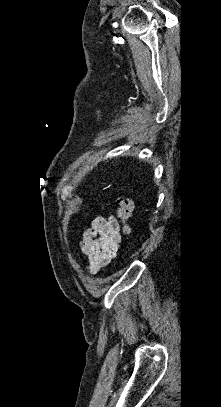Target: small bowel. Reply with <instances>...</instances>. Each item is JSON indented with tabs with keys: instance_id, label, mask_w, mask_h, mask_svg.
<instances>
[{
	"instance_id": "c3829d8e",
	"label": "small bowel",
	"mask_w": 221,
	"mask_h": 407,
	"mask_svg": "<svg viewBox=\"0 0 221 407\" xmlns=\"http://www.w3.org/2000/svg\"><path fill=\"white\" fill-rule=\"evenodd\" d=\"M120 241L118 221L113 215L94 219L79 241L87 270L96 273L106 266L115 257Z\"/></svg>"
}]
</instances>
